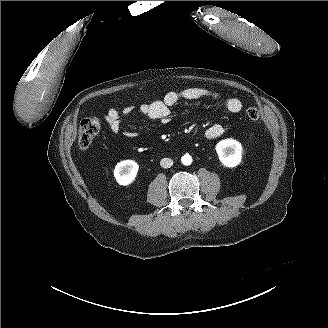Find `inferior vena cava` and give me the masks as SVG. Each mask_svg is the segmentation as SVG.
<instances>
[{"label":"inferior vena cava","instance_id":"inferior-vena-cava-1","mask_svg":"<svg viewBox=\"0 0 328 328\" xmlns=\"http://www.w3.org/2000/svg\"><path fill=\"white\" fill-rule=\"evenodd\" d=\"M163 168H170L173 165V160L170 158H163L160 162Z\"/></svg>","mask_w":328,"mask_h":328}]
</instances>
